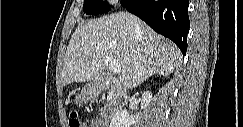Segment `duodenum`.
<instances>
[{"instance_id":"410a0bca","label":"duodenum","mask_w":243,"mask_h":127,"mask_svg":"<svg viewBox=\"0 0 243 127\" xmlns=\"http://www.w3.org/2000/svg\"><path fill=\"white\" fill-rule=\"evenodd\" d=\"M95 88L110 89L108 118L111 119L120 111L122 106L127 102V95L117 81H114L109 75H101L96 81ZM102 122V121H101Z\"/></svg>"}]
</instances>
